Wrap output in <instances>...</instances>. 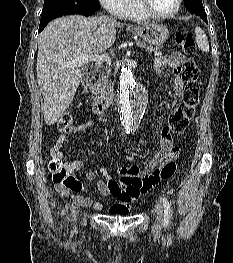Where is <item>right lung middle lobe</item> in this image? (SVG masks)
<instances>
[{"label":"right lung middle lobe","instance_id":"1","mask_svg":"<svg viewBox=\"0 0 233 263\" xmlns=\"http://www.w3.org/2000/svg\"><path fill=\"white\" fill-rule=\"evenodd\" d=\"M81 6L92 10L100 9L98 0H44L40 22L51 21L62 15L76 14Z\"/></svg>","mask_w":233,"mask_h":263}]
</instances>
